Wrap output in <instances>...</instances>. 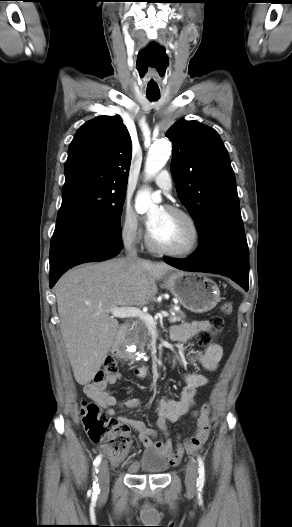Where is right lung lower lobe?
Listing matches in <instances>:
<instances>
[{"label":"right lung lower lobe","instance_id":"obj_1","mask_svg":"<svg viewBox=\"0 0 292 527\" xmlns=\"http://www.w3.org/2000/svg\"><path fill=\"white\" fill-rule=\"evenodd\" d=\"M123 246L121 235L74 221L56 223L50 246V288L70 268L115 257Z\"/></svg>","mask_w":292,"mask_h":527}]
</instances>
